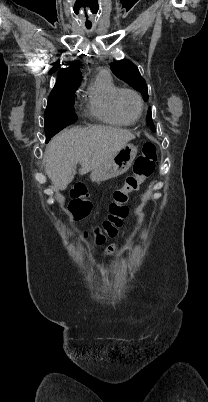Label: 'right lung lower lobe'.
<instances>
[{"instance_id":"1","label":"right lung lower lobe","mask_w":208,"mask_h":402,"mask_svg":"<svg viewBox=\"0 0 208 402\" xmlns=\"http://www.w3.org/2000/svg\"><path fill=\"white\" fill-rule=\"evenodd\" d=\"M68 126L61 121H51L45 123V133H46V141L48 142L52 136L58 133L60 130Z\"/></svg>"}]
</instances>
